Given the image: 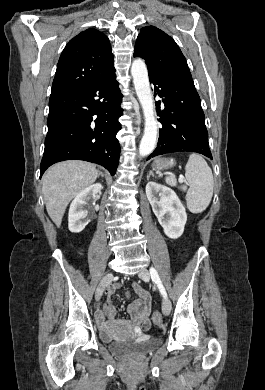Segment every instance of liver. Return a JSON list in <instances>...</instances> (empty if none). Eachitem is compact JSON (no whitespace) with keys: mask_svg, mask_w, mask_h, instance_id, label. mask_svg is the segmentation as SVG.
<instances>
[{"mask_svg":"<svg viewBox=\"0 0 265 390\" xmlns=\"http://www.w3.org/2000/svg\"><path fill=\"white\" fill-rule=\"evenodd\" d=\"M99 173L96 166L84 161L69 160L51 166L42 178V193L50 218L60 227L69 202L92 185Z\"/></svg>","mask_w":265,"mask_h":390,"instance_id":"1","label":"liver"}]
</instances>
